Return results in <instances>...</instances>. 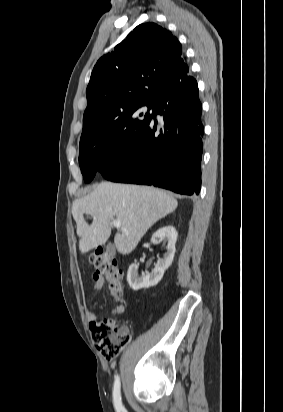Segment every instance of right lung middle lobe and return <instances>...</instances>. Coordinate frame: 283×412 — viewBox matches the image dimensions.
Masks as SVG:
<instances>
[{
	"label": "right lung middle lobe",
	"instance_id": "right-lung-middle-lobe-1",
	"mask_svg": "<svg viewBox=\"0 0 283 412\" xmlns=\"http://www.w3.org/2000/svg\"><path fill=\"white\" fill-rule=\"evenodd\" d=\"M156 105H135L120 114L105 131L80 139L79 164L85 183H89L97 171L122 157L133 146L151 120Z\"/></svg>",
	"mask_w": 283,
	"mask_h": 412
}]
</instances>
